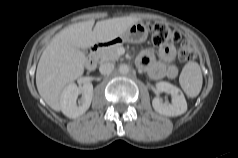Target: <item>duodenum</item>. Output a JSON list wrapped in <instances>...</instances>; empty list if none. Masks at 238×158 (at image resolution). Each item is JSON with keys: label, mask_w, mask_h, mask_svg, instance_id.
Here are the masks:
<instances>
[{"label": "duodenum", "mask_w": 238, "mask_h": 158, "mask_svg": "<svg viewBox=\"0 0 238 158\" xmlns=\"http://www.w3.org/2000/svg\"><path fill=\"white\" fill-rule=\"evenodd\" d=\"M108 42H97L90 48V52L87 59V68L92 70L96 67L98 60V52L105 46L109 45Z\"/></svg>", "instance_id": "1"}]
</instances>
